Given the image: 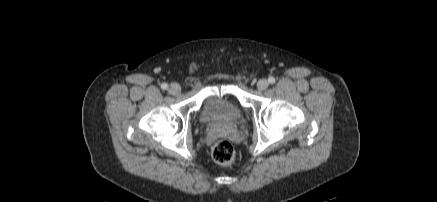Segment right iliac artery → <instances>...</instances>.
Returning a JSON list of instances; mask_svg holds the SVG:
<instances>
[{"instance_id": "obj_1", "label": "right iliac artery", "mask_w": 437, "mask_h": 202, "mask_svg": "<svg viewBox=\"0 0 437 202\" xmlns=\"http://www.w3.org/2000/svg\"><path fill=\"white\" fill-rule=\"evenodd\" d=\"M161 88H162L163 90H165V89L168 88V85H167L166 83H163V84L161 85Z\"/></svg>"}]
</instances>
